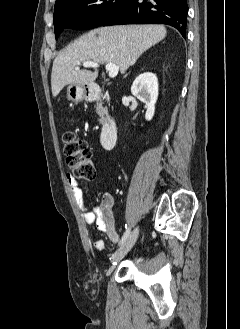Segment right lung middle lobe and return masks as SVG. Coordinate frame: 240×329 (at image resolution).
Returning a JSON list of instances; mask_svg holds the SVG:
<instances>
[{"label":"right lung middle lobe","instance_id":"1","mask_svg":"<svg viewBox=\"0 0 240 329\" xmlns=\"http://www.w3.org/2000/svg\"><path fill=\"white\" fill-rule=\"evenodd\" d=\"M125 0H69L54 9L56 39L62 27L89 29L100 26ZM97 8V10H93Z\"/></svg>","mask_w":240,"mask_h":329}]
</instances>
